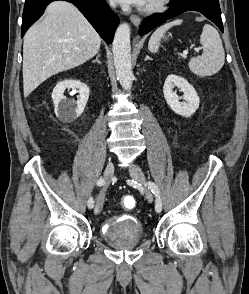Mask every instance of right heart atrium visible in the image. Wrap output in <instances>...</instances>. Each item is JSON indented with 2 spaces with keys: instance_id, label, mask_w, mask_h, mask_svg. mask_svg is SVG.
Segmentation results:
<instances>
[{
  "instance_id": "d8ad5b80",
  "label": "right heart atrium",
  "mask_w": 249,
  "mask_h": 294,
  "mask_svg": "<svg viewBox=\"0 0 249 294\" xmlns=\"http://www.w3.org/2000/svg\"><path fill=\"white\" fill-rule=\"evenodd\" d=\"M108 1H109V4H110V5H112V4H113L112 0H108Z\"/></svg>"
}]
</instances>
